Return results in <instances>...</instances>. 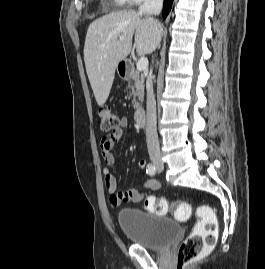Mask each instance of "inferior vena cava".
Masks as SVG:
<instances>
[{
	"instance_id": "1",
	"label": "inferior vena cava",
	"mask_w": 265,
	"mask_h": 269,
	"mask_svg": "<svg viewBox=\"0 0 265 269\" xmlns=\"http://www.w3.org/2000/svg\"><path fill=\"white\" fill-rule=\"evenodd\" d=\"M162 6L163 0H144L143 4L139 7V13L158 15L162 10ZM151 75L152 71L149 74L150 78ZM156 123V102L152 82L150 81L147 89L146 141L151 160L161 159Z\"/></svg>"
}]
</instances>
